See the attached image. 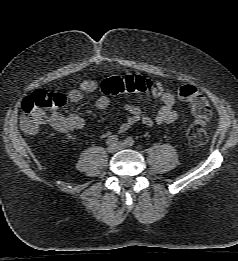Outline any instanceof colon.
<instances>
[{"label": "colon", "mask_w": 238, "mask_h": 261, "mask_svg": "<svg viewBox=\"0 0 238 261\" xmlns=\"http://www.w3.org/2000/svg\"><path fill=\"white\" fill-rule=\"evenodd\" d=\"M149 79L141 75L113 76L101 83V91L107 96L123 93L146 92L151 88ZM177 96L186 102L192 111L193 121L187 131L191 145L200 146L207 141L206 123L211 117V106L204 92L192 85H182L176 90ZM66 102L63 95L46 90H37L26 96L21 104V126L27 134H35L47 121L50 109Z\"/></svg>", "instance_id": "obj_1"}]
</instances>
